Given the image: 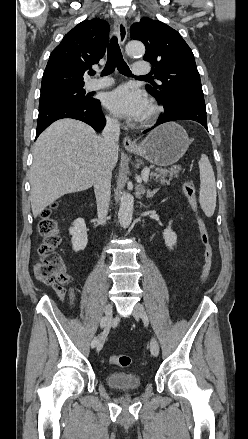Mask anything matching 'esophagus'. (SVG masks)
Masks as SVG:
<instances>
[{"instance_id":"obj_1","label":"esophagus","mask_w":248,"mask_h":439,"mask_svg":"<svg viewBox=\"0 0 248 439\" xmlns=\"http://www.w3.org/2000/svg\"><path fill=\"white\" fill-rule=\"evenodd\" d=\"M114 29L117 34L119 44L123 46L127 39L126 21L123 18H116L114 22ZM123 146L129 150L135 148L137 145L128 136H125L123 139Z\"/></svg>"}]
</instances>
